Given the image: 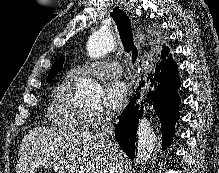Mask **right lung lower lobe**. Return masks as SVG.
Wrapping results in <instances>:
<instances>
[{
  "label": "right lung lower lobe",
  "mask_w": 219,
  "mask_h": 173,
  "mask_svg": "<svg viewBox=\"0 0 219 173\" xmlns=\"http://www.w3.org/2000/svg\"><path fill=\"white\" fill-rule=\"evenodd\" d=\"M167 55H161L162 61L157 65L155 72L148 75L147 80L151 81L153 89L149 90L146 100L148 103L151 100L160 119L163 150L167 149L173 138L174 126L180 118L179 105L181 104L177 93L181 84L178 66L172 60L171 55L165 60ZM138 99L139 97L135 95L130 101L120 115L118 125L115 128L117 142L132 160L134 159L137 123L143 114V102L139 103Z\"/></svg>",
  "instance_id": "1"
}]
</instances>
